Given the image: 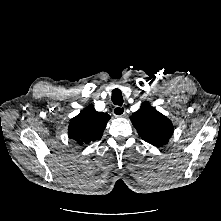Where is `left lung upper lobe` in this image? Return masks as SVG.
Instances as JSON below:
<instances>
[{"instance_id":"left-lung-upper-lobe-1","label":"left lung upper lobe","mask_w":221,"mask_h":221,"mask_svg":"<svg viewBox=\"0 0 221 221\" xmlns=\"http://www.w3.org/2000/svg\"><path fill=\"white\" fill-rule=\"evenodd\" d=\"M130 119L139 136L156 147L166 144L173 134L172 122L148 102L142 103Z\"/></svg>"}]
</instances>
